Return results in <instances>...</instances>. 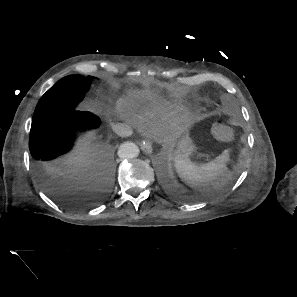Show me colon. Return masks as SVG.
Here are the masks:
<instances>
[{
  "instance_id": "5ec220e1",
  "label": "colon",
  "mask_w": 297,
  "mask_h": 297,
  "mask_svg": "<svg viewBox=\"0 0 297 297\" xmlns=\"http://www.w3.org/2000/svg\"><path fill=\"white\" fill-rule=\"evenodd\" d=\"M229 127L225 124H218L214 128V134L220 139H226L228 137Z\"/></svg>"
}]
</instances>
